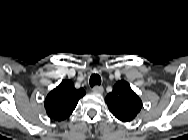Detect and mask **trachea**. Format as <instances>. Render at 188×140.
Instances as JSON below:
<instances>
[{"instance_id": "3493384b", "label": "trachea", "mask_w": 188, "mask_h": 140, "mask_svg": "<svg viewBox=\"0 0 188 140\" xmlns=\"http://www.w3.org/2000/svg\"><path fill=\"white\" fill-rule=\"evenodd\" d=\"M101 84V77L98 74H93L90 77V86L93 87L94 85H100Z\"/></svg>"}]
</instances>
